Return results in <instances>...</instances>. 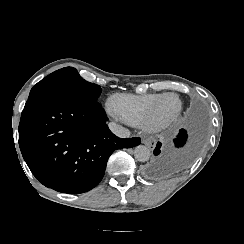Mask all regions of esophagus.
<instances>
[{
	"label": "esophagus",
	"mask_w": 244,
	"mask_h": 244,
	"mask_svg": "<svg viewBox=\"0 0 244 244\" xmlns=\"http://www.w3.org/2000/svg\"><path fill=\"white\" fill-rule=\"evenodd\" d=\"M141 142L151 150L154 149L156 145V139L154 137L143 138Z\"/></svg>",
	"instance_id": "obj_1"
}]
</instances>
